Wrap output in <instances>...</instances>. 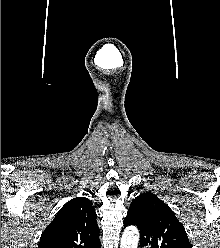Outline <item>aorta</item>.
Instances as JSON below:
<instances>
[{"instance_id": "1", "label": "aorta", "mask_w": 220, "mask_h": 248, "mask_svg": "<svg viewBox=\"0 0 220 248\" xmlns=\"http://www.w3.org/2000/svg\"><path fill=\"white\" fill-rule=\"evenodd\" d=\"M138 241V229L135 226H129L123 232L120 248H137Z\"/></svg>"}]
</instances>
